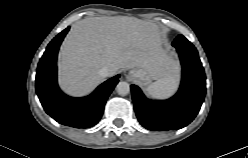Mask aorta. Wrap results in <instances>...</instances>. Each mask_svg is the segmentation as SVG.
Masks as SVG:
<instances>
[{"label": "aorta", "mask_w": 248, "mask_h": 158, "mask_svg": "<svg viewBox=\"0 0 248 158\" xmlns=\"http://www.w3.org/2000/svg\"><path fill=\"white\" fill-rule=\"evenodd\" d=\"M116 91L119 95L125 96L130 92V85L125 81H120L116 86Z\"/></svg>", "instance_id": "obj_1"}]
</instances>
